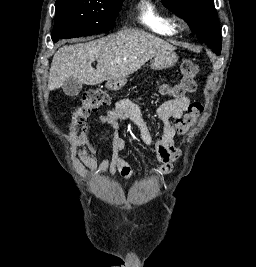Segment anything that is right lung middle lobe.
<instances>
[{"instance_id":"obj_1","label":"right lung middle lobe","mask_w":256,"mask_h":267,"mask_svg":"<svg viewBox=\"0 0 256 267\" xmlns=\"http://www.w3.org/2000/svg\"><path fill=\"white\" fill-rule=\"evenodd\" d=\"M123 0H56L52 40L92 35L115 27Z\"/></svg>"}]
</instances>
